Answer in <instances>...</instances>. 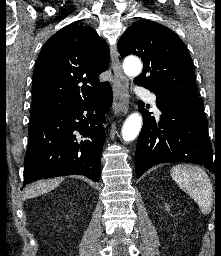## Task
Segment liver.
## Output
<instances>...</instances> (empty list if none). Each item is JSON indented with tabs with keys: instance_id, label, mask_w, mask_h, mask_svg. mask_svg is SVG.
I'll return each instance as SVG.
<instances>
[{
	"instance_id": "6515ba94",
	"label": "liver",
	"mask_w": 221,
	"mask_h": 256,
	"mask_svg": "<svg viewBox=\"0 0 221 256\" xmlns=\"http://www.w3.org/2000/svg\"><path fill=\"white\" fill-rule=\"evenodd\" d=\"M62 181L63 178H53L31 184L27 186L24 190L25 198H33L48 191H51L54 188L58 187Z\"/></svg>"
}]
</instances>
